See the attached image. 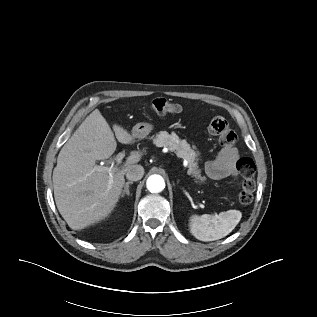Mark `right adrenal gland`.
Wrapping results in <instances>:
<instances>
[{
    "mask_svg": "<svg viewBox=\"0 0 317 317\" xmlns=\"http://www.w3.org/2000/svg\"><path fill=\"white\" fill-rule=\"evenodd\" d=\"M129 184H133L132 181H128L125 183V186H124V190L122 191V194H121V198L124 197L125 194L129 195L130 192H129Z\"/></svg>",
    "mask_w": 317,
    "mask_h": 317,
    "instance_id": "2a0ac1e0",
    "label": "right adrenal gland"
}]
</instances>
